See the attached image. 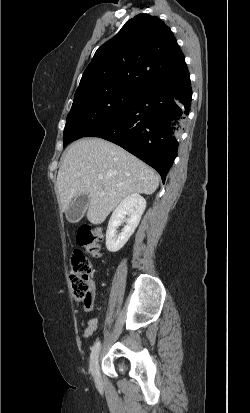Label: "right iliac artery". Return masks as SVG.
Returning a JSON list of instances; mask_svg holds the SVG:
<instances>
[{"instance_id":"right-iliac-artery-1","label":"right iliac artery","mask_w":250,"mask_h":413,"mask_svg":"<svg viewBox=\"0 0 250 413\" xmlns=\"http://www.w3.org/2000/svg\"><path fill=\"white\" fill-rule=\"evenodd\" d=\"M99 349H100V341H97V342L94 344V346H93V348H92L91 355H90V371H91L92 374H93V367H92V365H93V361H94V356H95L96 353L99 351Z\"/></svg>"}]
</instances>
